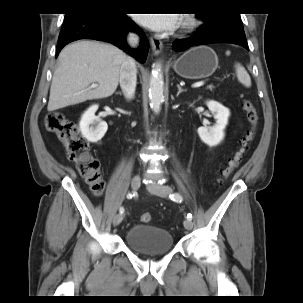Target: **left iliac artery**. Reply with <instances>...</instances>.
<instances>
[{
  "instance_id": "44dca946",
  "label": "left iliac artery",
  "mask_w": 303,
  "mask_h": 303,
  "mask_svg": "<svg viewBox=\"0 0 303 303\" xmlns=\"http://www.w3.org/2000/svg\"><path fill=\"white\" fill-rule=\"evenodd\" d=\"M170 197L173 201L179 202V203H181L183 200L182 196L179 193H174V194L170 195ZM187 219L192 220V214H190V213L187 214Z\"/></svg>"
}]
</instances>
